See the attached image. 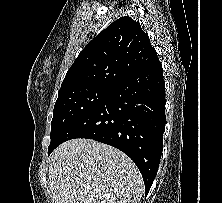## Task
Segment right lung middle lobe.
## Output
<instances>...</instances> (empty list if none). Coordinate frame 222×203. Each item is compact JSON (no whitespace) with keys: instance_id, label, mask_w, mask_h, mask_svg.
Segmentation results:
<instances>
[{"instance_id":"obj_1","label":"right lung middle lobe","mask_w":222,"mask_h":203,"mask_svg":"<svg viewBox=\"0 0 222 203\" xmlns=\"http://www.w3.org/2000/svg\"><path fill=\"white\" fill-rule=\"evenodd\" d=\"M112 88L77 86L59 90L51 123V146L75 121L103 102Z\"/></svg>"}]
</instances>
